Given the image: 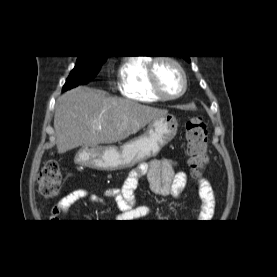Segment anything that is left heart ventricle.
Listing matches in <instances>:
<instances>
[{
    "label": "left heart ventricle",
    "mask_w": 277,
    "mask_h": 277,
    "mask_svg": "<svg viewBox=\"0 0 277 277\" xmlns=\"http://www.w3.org/2000/svg\"><path fill=\"white\" fill-rule=\"evenodd\" d=\"M158 82L167 95H175L182 88V78L178 70L170 63L160 61L156 67Z\"/></svg>",
    "instance_id": "obj_1"
}]
</instances>
